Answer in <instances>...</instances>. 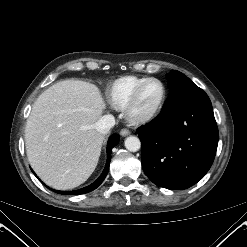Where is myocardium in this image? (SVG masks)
Returning a JSON list of instances; mask_svg holds the SVG:
<instances>
[{"label":"myocardium","instance_id":"1","mask_svg":"<svg viewBox=\"0 0 247 247\" xmlns=\"http://www.w3.org/2000/svg\"><path fill=\"white\" fill-rule=\"evenodd\" d=\"M151 82H157L161 85L162 87V96L160 99V102L158 104V106L149 114L144 115V116H137L134 114L133 112V108L139 98V95L141 93V91L143 90V88L151 83ZM167 99V88L166 85L163 83V81H161L158 78H154V77H150L146 80H144L142 83H140L133 91V93L131 94L130 98L128 99L125 107H124V112L125 115L127 117V119L134 124H145L148 122H151L152 120H154L162 111L164 104L166 102Z\"/></svg>","mask_w":247,"mask_h":247}]
</instances>
